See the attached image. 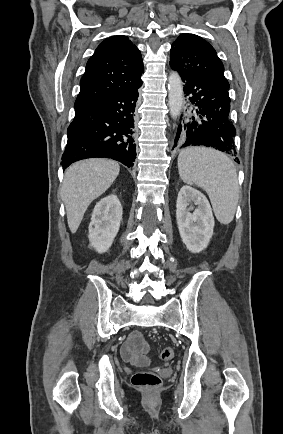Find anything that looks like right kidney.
I'll return each mask as SVG.
<instances>
[{
	"mask_svg": "<svg viewBox=\"0 0 283 434\" xmlns=\"http://www.w3.org/2000/svg\"><path fill=\"white\" fill-rule=\"evenodd\" d=\"M122 206L114 194L104 197L95 206L89 224L91 247L103 253L109 250L122 220Z\"/></svg>",
	"mask_w": 283,
	"mask_h": 434,
	"instance_id": "obj_1",
	"label": "right kidney"
}]
</instances>
